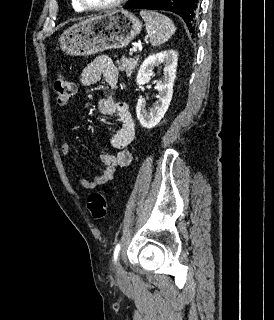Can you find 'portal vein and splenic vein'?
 I'll return each mask as SVG.
<instances>
[{"instance_id":"portal-vein-and-splenic-vein-1","label":"portal vein and splenic vein","mask_w":274,"mask_h":320,"mask_svg":"<svg viewBox=\"0 0 274 320\" xmlns=\"http://www.w3.org/2000/svg\"><path fill=\"white\" fill-rule=\"evenodd\" d=\"M133 52H137V50H133Z\"/></svg>"}]
</instances>
